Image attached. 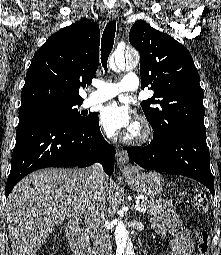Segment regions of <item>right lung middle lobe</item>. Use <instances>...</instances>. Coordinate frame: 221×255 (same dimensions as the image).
<instances>
[{
  "label": "right lung middle lobe",
  "instance_id": "obj_1",
  "mask_svg": "<svg viewBox=\"0 0 221 255\" xmlns=\"http://www.w3.org/2000/svg\"><path fill=\"white\" fill-rule=\"evenodd\" d=\"M81 103H44L20 109L19 115L48 116L68 125L80 126L86 124L93 116H85L86 114L79 112L77 106Z\"/></svg>",
  "mask_w": 221,
  "mask_h": 255
}]
</instances>
